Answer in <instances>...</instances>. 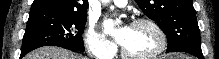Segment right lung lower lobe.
I'll return each instance as SVG.
<instances>
[{"instance_id": "1", "label": "right lung lower lobe", "mask_w": 219, "mask_h": 59, "mask_svg": "<svg viewBox=\"0 0 219 59\" xmlns=\"http://www.w3.org/2000/svg\"><path fill=\"white\" fill-rule=\"evenodd\" d=\"M71 51H74V52H81V51H78V50H71ZM23 55L20 56V58H22Z\"/></svg>"}]
</instances>
